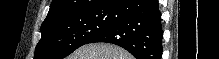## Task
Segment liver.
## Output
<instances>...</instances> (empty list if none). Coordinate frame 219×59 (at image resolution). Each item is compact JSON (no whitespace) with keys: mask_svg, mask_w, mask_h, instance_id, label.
Wrapping results in <instances>:
<instances>
[{"mask_svg":"<svg viewBox=\"0 0 219 59\" xmlns=\"http://www.w3.org/2000/svg\"><path fill=\"white\" fill-rule=\"evenodd\" d=\"M67 59H133V56L118 46L101 43L84 45Z\"/></svg>","mask_w":219,"mask_h":59,"instance_id":"1","label":"liver"}]
</instances>
